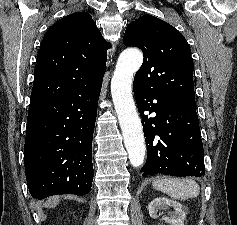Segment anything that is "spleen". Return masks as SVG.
<instances>
[{"label":"spleen","instance_id":"3e777b00","mask_svg":"<svg viewBox=\"0 0 237 225\" xmlns=\"http://www.w3.org/2000/svg\"><path fill=\"white\" fill-rule=\"evenodd\" d=\"M156 190L168 194L171 198L187 200L200 193L199 185L190 178H163L152 183Z\"/></svg>","mask_w":237,"mask_h":225}]
</instances>
